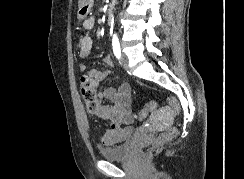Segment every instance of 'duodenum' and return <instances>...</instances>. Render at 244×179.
Returning a JSON list of instances; mask_svg holds the SVG:
<instances>
[{"instance_id":"410a0bca","label":"duodenum","mask_w":244,"mask_h":179,"mask_svg":"<svg viewBox=\"0 0 244 179\" xmlns=\"http://www.w3.org/2000/svg\"><path fill=\"white\" fill-rule=\"evenodd\" d=\"M108 13H109V16L113 15V13H114L113 9H109Z\"/></svg>"}]
</instances>
